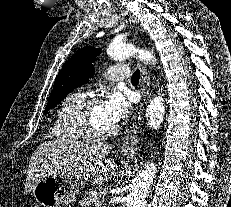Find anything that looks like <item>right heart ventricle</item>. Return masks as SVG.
Returning a JSON list of instances; mask_svg holds the SVG:
<instances>
[{
	"label": "right heart ventricle",
	"instance_id": "right-heart-ventricle-1",
	"mask_svg": "<svg viewBox=\"0 0 231 207\" xmlns=\"http://www.w3.org/2000/svg\"><path fill=\"white\" fill-rule=\"evenodd\" d=\"M84 99L80 91L70 93L60 104L56 111L52 133L55 139L64 142H80L84 140L83 134L78 129L74 113L77 106Z\"/></svg>",
	"mask_w": 231,
	"mask_h": 207
}]
</instances>
